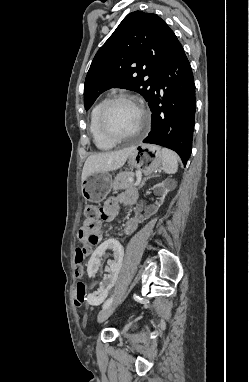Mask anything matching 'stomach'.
I'll return each mask as SVG.
<instances>
[{"label": "stomach", "instance_id": "stomach-1", "mask_svg": "<svg viewBox=\"0 0 249 382\" xmlns=\"http://www.w3.org/2000/svg\"><path fill=\"white\" fill-rule=\"evenodd\" d=\"M129 165L146 175L153 173L162 164L161 148L156 145L139 144L133 147ZM112 179L108 172H95L82 181V196L86 201L100 203L110 193Z\"/></svg>", "mask_w": 249, "mask_h": 382}]
</instances>
